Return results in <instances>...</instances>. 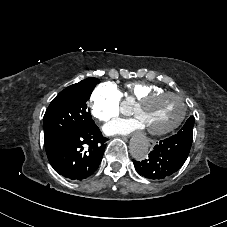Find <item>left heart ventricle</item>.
Segmentation results:
<instances>
[{"label":"left heart ventricle","instance_id":"1","mask_svg":"<svg viewBox=\"0 0 227 227\" xmlns=\"http://www.w3.org/2000/svg\"><path fill=\"white\" fill-rule=\"evenodd\" d=\"M182 105L174 96H161L152 102L135 106L133 114L147 131H163L171 127L180 117Z\"/></svg>","mask_w":227,"mask_h":227}]
</instances>
